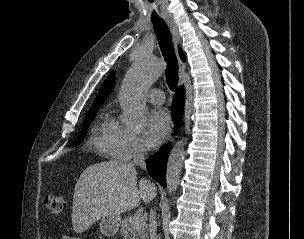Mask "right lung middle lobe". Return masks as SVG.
Returning <instances> with one entry per match:
<instances>
[{"instance_id":"obj_1","label":"right lung middle lobe","mask_w":304,"mask_h":239,"mask_svg":"<svg viewBox=\"0 0 304 239\" xmlns=\"http://www.w3.org/2000/svg\"><path fill=\"white\" fill-rule=\"evenodd\" d=\"M99 107H95V108H90L89 111L87 112V115L84 119V123H83V127H82V131L79 135V137L72 143H70V146H76L78 144H80L82 142V140L84 139L86 132H87V128L89 127L90 123L92 122L93 118L95 117V115L98 112Z\"/></svg>"}]
</instances>
